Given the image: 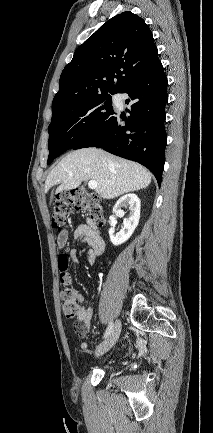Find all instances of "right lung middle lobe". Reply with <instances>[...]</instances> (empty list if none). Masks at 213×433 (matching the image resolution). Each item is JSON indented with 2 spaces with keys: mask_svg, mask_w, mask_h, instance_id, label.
Listing matches in <instances>:
<instances>
[{
  "mask_svg": "<svg viewBox=\"0 0 213 433\" xmlns=\"http://www.w3.org/2000/svg\"><path fill=\"white\" fill-rule=\"evenodd\" d=\"M111 104L110 95H100L69 105L54 114L48 127L47 163L102 129L115 114Z\"/></svg>",
  "mask_w": 213,
  "mask_h": 433,
  "instance_id": "1",
  "label": "right lung middle lobe"
}]
</instances>
